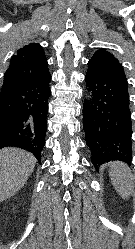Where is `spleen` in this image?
<instances>
[{"mask_svg": "<svg viewBox=\"0 0 135 249\" xmlns=\"http://www.w3.org/2000/svg\"><path fill=\"white\" fill-rule=\"evenodd\" d=\"M109 177L115 190L122 199L126 200L133 194V176L125 163L112 162L109 166Z\"/></svg>", "mask_w": 135, "mask_h": 249, "instance_id": "spleen-1", "label": "spleen"}]
</instances>
